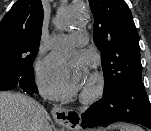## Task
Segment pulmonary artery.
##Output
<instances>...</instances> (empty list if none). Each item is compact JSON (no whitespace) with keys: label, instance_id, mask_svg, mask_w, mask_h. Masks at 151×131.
Returning a JSON list of instances; mask_svg holds the SVG:
<instances>
[{"label":"pulmonary artery","instance_id":"obj_1","mask_svg":"<svg viewBox=\"0 0 151 131\" xmlns=\"http://www.w3.org/2000/svg\"><path fill=\"white\" fill-rule=\"evenodd\" d=\"M88 41V36L87 33L84 31H77L74 32L72 35L70 36H62V37H58L53 43H52V47H60V48H64V47H68V46H84L87 44Z\"/></svg>","mask_w":151,"mask_h":131}]
</instances>
